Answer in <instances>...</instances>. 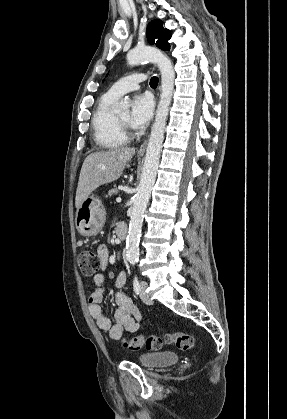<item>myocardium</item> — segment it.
<instances>
[{"instance_id": "obj_1", "label": "myocardium", "mask_w": 287, "mask_h": 419, "mask_svg": "<svg viewBox=\"0 0 287 419\" xmlns=\"http://www.w3.org/2000/svg\"><path fill=\"white\" fill-rule=\"evenodd\" d=\"M115 122H116L119 130L123 134V136L127 139L130 136L128 125L122 123L116 115H115Z\"/></svg>"}]
</instances>
